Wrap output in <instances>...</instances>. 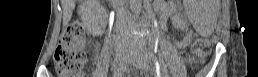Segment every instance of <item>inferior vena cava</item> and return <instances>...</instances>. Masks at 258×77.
Wrapping results in <instances>:
<instances>
[{
	"mask_svg": "<svg viewBox=\"0 0 258 77\" xmlns=\"http://www.w3.org/2000/svg\"><path fill=\"white\" fill-rule=\"evenodd\" d=\"M117 5L115 6L117 12V18L119 21H123L126 18V11L124 9L123 0H116Z\"/></svg>",
	"mask_w": 258,
	"mask_h": 77,
	"instance_id": "inferior-vena-cava-1",
	"label": "inferior vena cava"
}]
</instances>
